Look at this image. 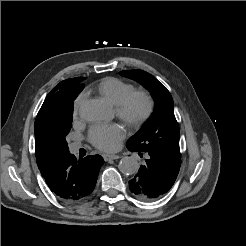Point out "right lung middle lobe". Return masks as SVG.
Listing matches in <instances>:
<instances>
[{
  "label": "right lung middle lobe",
  "mask_w": 246,
  "mask_h": 246,
  "mask_svg": "<svg viewBox=\"0 0 246 246\" xmlns=\"http://www.w3.org/2000/svg\"><path fill=\"white\" fill-rule=\"evenodd\" d=\"M78 94L79 92L68 94L61 100L53 120L54 138L58 145L63 148L66 154L69 153L66 137L71 129L73 118V102Z\"/></svg>",
  "instance_id": "obj_1"
}]
</instances>
